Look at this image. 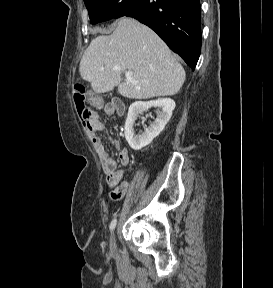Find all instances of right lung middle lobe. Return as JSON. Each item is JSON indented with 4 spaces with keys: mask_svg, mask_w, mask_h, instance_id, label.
Here are the masks:
<instances>
[{
    "mask_svg": "<svg viewBox=\"0 0 273 288\" xmlns=\"http://www.w3.org/2000/svg\"><path fill=\"white\" fill-rule=\"evenodd\" d=\"M135 1L136 0H84L92 24L122 17Z\"/></svg>",
    "mask_w": 273,
    "mask_h": 288,
    "instance_id": "dd1d6c3e",
    "label": "right lung middle lobe"
}]
</instances>
